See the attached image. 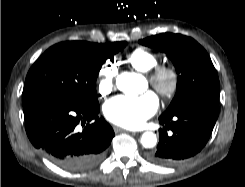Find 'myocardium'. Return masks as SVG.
I'll use <instances>...</instances> for the list:
<instances>
[{
  "instance_id": "myocardium-1",
  "label": "myocardium",
  "mask_w": 245,
  "mask_h": 187,
  "mask_svg": "<svg viewBox=\"0 0 245 187\" xmlns=\"http://www.w3.org/2000/svg\"><path fill=\"white\" fill-rule=\"evenodd\" d=\"M151 87L164 99L174 97L178 91L180 76L171 65H157L148 73Z\"/></svg>"
}]
</instances>
